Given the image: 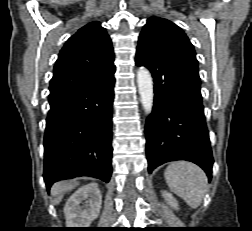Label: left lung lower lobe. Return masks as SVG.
Masks as SVG:
<instances>
[{
	"label": "left lung lower lobe",
	"instance_id": "1",
	"mask_svg": "<svg viewBox=\"0 0 252 231\" xmlns=\"http://www.w3.org/2000/svg\"><path fill=\"white\" fill-rule=\"evenodd\" d=\"M137 66L154 79V105L146 120L148 171L175 160H187L212 175L213 156L200 93L198 63L174 54L137 51Z\"/></svg>",
	"mask_w": 252,
	"mask_h": 231
}]
</instances>
